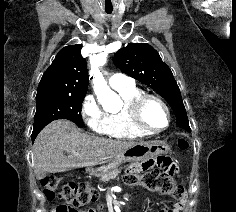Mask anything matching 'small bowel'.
<instances>
[{
    "mask_svg": "<svg viewBox=\"0 0 236 212\" xmlns=\"http://www.w3.org/2000/svg\"><path fill=\"white\" fill-rule=\"evenodd\" d=\"M181 208H182V206L178 205V206H175L172 209L164 210V212H179V210H181ZM82 212H94V210L93 209H88L87 211H82Z\"/></svg>",
    "mask_w": 236,
    "mask_h": 212,
    "instance_id": "1",
    "label": "small bowel"
}]
</instances>
